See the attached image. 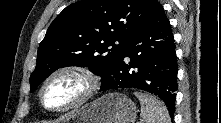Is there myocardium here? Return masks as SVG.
Returning <instances> with one entry per match:
<instances>
[{"label":"myocardium","instance_id":"myocardium-1","mask_svg":"<svg viewBox=\"0 0 221 123\" xmlns=\"http://www.w3.org/2000/svg\"><path fill=\"white\" fill-rule=\"evenodd\" d=\"M62 74H75L79 76L85 84L81 95L71 103L62 107H50L44 101V91L47 85L57 76ZM100 79L91 70L79 65H65L52 71L43 81L39 90V100L41 105L50 112L60 113L76 109L88 102L99 90Z\"/></svg>","mask_w":221,"mask_h":123}]
</instances>
